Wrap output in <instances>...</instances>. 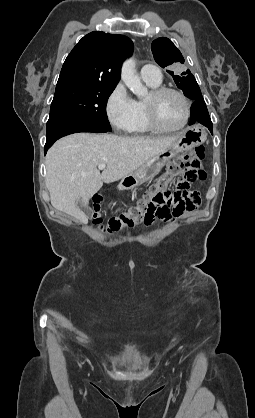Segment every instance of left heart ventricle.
<instances>
[{"mask_svg":"<svg viewBox=\"0 0 255 418\" xmlns=\"http://www.w3.org/2000/svg\"><path fill=\"white\" fill-rule=\"evenodd\" d=\"M150 99V95L147 100ZM158 117L160 123L168 128L180 125L185 117V105L182 99L173 93H168L158 101Z\"/></svg>","mask_w":255,"mask_h":418,"instance_id":"b2bd125f","label":"left heart ventricle"}]
</instances>
